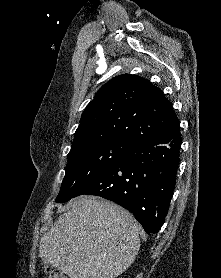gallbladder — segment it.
Listing matches in <instances>:
<instances>
[{"label":"gallbladder","mask_w":221,"mask_h":278,"mask_svg":"<svg viewBox=\"0 0 221 278\" xmlns=\"http://www.w3.org/2000/svg\"><path fill=\"white\" fill-rule=\"evenodd\" d=\"M43 263H44V264H46V265H48V264H49V262L47 261V259H46V258H43Z\"/></svg>","instance_id":"gallbladder-1"}]
</instances>
